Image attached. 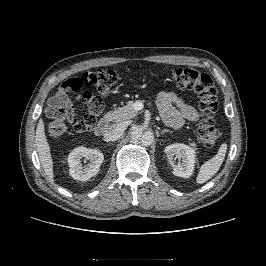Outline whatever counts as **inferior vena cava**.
I'll return each mask as SVG.
<instances>
[{
    "instance_id": "1",
    "label": "inferior vena cava",
    "mask_w": 266,
    "mask_h": 266,
    "mask_svg": "<svg viewBox=\"0 0 266 266\" xmlns=\"http://www.w3.org/2000/svg\"><path fill=\"white\" fill-rule=\"evenodd\" d=\"M125 130L123 124H111L104 131V138L106 141H116L121 138Z\"/></svg>"
}]
</instances>
